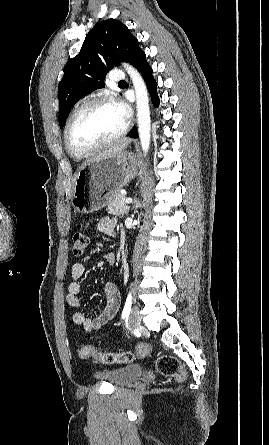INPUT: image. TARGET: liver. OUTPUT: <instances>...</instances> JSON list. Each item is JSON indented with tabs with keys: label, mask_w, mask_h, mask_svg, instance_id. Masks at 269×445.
<instances>
[{
	"label": "liver",
	"mask_w": 269,
	"mask_h": 445,
	"mask_svg": "<svg viewBox=\"0 0 269 445\" xmlns=\"http://www.w3.org/2000/svg\"><path fill=\"white\" fill-rule=\"evenodd\" d=\"M131 142L130 139H124L114 145L109 146L107 149H105L103 152H101L98 156H96L95 158L89 160L87 163L93 161V160H98L102 157H111V156H117L119 154H121L125 148L128 146V144Z\"/></svg>",
	"instance_id": "1"
}]
</instances>
